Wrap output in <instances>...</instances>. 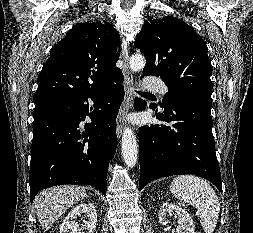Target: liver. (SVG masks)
Returning <instances> with one entry per match:
<instances>
[{
	"instance_id": "obj_1",
	"label": "liver",
	"mask_w": 253,
	"mask_h": 233,
	"mask_svg": "<svg viewBox=\"0 0 253 233\" xmlns=\"http://www.w3.org/2000/svg\"><path fill=\"white\" fill-rule=\"evenodd\" d=\"M86 195V189L80 186H56L42 191L34 201L39 223L45 230L50 229L68 208Z\"/></svg>"
}]
</instances>
